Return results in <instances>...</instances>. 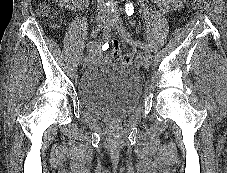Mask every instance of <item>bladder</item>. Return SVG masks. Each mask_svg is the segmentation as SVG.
Here are the masks:
<instances>
[{"mask_svg":"<svg viewBox=\"0 0 227 173\" xmlns=\"http://www.w3.org/2000/svg\"><path fill=\"white\" fill-rule=\"evenodd\" d=\"M143 93L139 73L121 62H103L80 77L77 95L88 114L106 122H120L133 114Z\"/></svg>","mask_w":227,"mask_h":173,"instance_id":"bladder-1","label":"bladder"}]
</instances>
